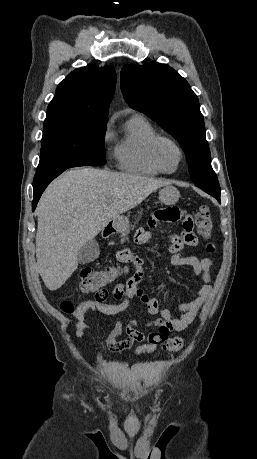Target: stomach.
<instances>
[{
    "instance_id": "stomach-1",
    "label": "stomach",
    "mask_w": 257,
    "mask_h": 459,
    "mask_svg": "<svg viewBox=\"0 0 257 459\" xmlns=\"http://www.w3.org/2000/svg\"><path fill=\"white\" fill-rule=\"evenodd\" d=\"M180 197L178 189L167 185L159 191V200L166 205L175 204ZM129 228V220L125 216L113 219L112 232L122 233Z\"/></svg>"
}]
</instances>
